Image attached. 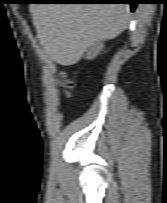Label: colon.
<instances>
[{
    "label": "colon",
    "mask_w": 167,
    "mask_h": 203,
    "mask_svg": "<svg viewBox=\"0 0 167 203\" xmlns=\"http://www.w3.org/2000/svg\"><path fill=\"white\" fill-rule=\"evenodd\" d=\"M63 85L64 87L66 88V90L69 92L73 86H74V83L70 80H68L65 76H64V80H63Z\"/></svg>",
    "instance_id": "5ec220e1"
}]
</instances>
